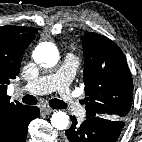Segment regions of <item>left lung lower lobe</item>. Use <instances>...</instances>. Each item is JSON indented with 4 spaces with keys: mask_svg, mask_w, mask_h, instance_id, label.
<instances>
[{
    "mask_svg": "<svg viewBox=\"0 0 142 142\" xmlns=\"http://www.w3.org/2000/svg\"><path fill=\"white\" fill-rule=\"evenodd\" d=\"M70 117L72 125L65 131L67 142H116L124 127L123 120L91 117L78 124L74 116Z\"/></svg>",
    "mask_w": 142,
    "mask_h": 142,
    "instance_id": "1",
    "label": "left lung lower lobe"
}]
</instances>
